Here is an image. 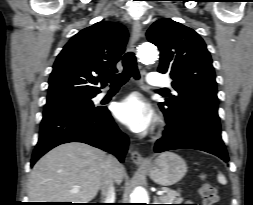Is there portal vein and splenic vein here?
I'll return each instance as SVG.
<instances>
[{
	"label": "portal vein and splenic vein",
	"instance_id": "obj_1",
	"mask_svg": "<svg viewBox=\"0 0 253 205\" xmlns=\"http://www.w3.org/2000/svg\"><path fill=\"white\" fill-rule=\"evenodd\" d=\"M78 187H75L74 189H73V191H78ZM164 194V192L163 191H157V195H159V196H161V195H163Z\"/></svg>",
	"mask_w": 253,
	"mask_h": 205
}]
</instances>
